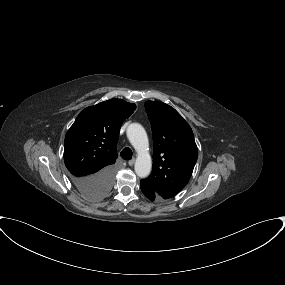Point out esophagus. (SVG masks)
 Wrapping results in <instances>:
<instances>
[{"label": "esophagus", "mask_w": 285, "mask_h": 285, "mask_svg": "<svg viewBox=\"0 0 285 285\" xmlns=\"http://www.w3.org/2000/svg\"><path fill=\"white\" fill-rule=\"evenodd\" d=\"M134 163H135V159H134V158L131 159L130 161H128V165H129V166H133Z\"/></svg>", "instance_id": "esophagus-1"}]
</instances>
